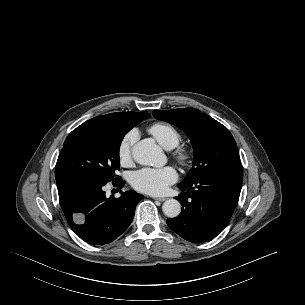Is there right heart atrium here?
Segmentation results:
<instances>
[{
    "label": "right heart atrium",
    "instance_id": "1",
    "mask_svg": "<svg viewBox=\"0 0 305 305\" xmlns=\"http://www.w3.org/2000/svg\"><path fill=\"white\" fill-rule=\"evenodd\" d=\"M137 138L135 131H130L121 140L118 147V157L121 165L128 166L132 162V150Z\"/></svg>",
    "mask_w": 305,
    "mask_h": 305
}]
</instances>
